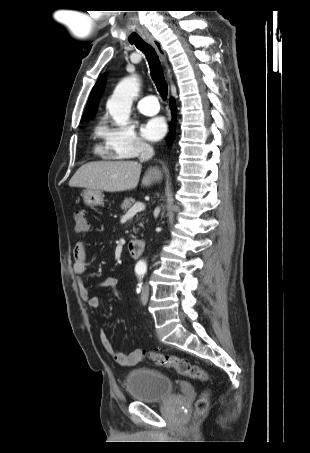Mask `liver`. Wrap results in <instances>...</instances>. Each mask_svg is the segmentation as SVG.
I'll list each match as a JSON object with an SVG mask.
<instances>
[{
	"label": "liver",
	"instance_id": "obj_1",
	"mask_svg": "<svg viewBox=\"0 0 310 453\" xmlns=\"http://www.w3.org/2000/svg\"><path fill=\"white\" fill-rule=\"evenodd\" d=\"M142 165L136 161H95L82 165L69 181L70 187H80L106 192H122L138 185ZM162 178L157 167L149 168L143 186H150Z\"/></svg>",
	"mask_w": 310,
	"mask_h": 453
}]
</instances>
